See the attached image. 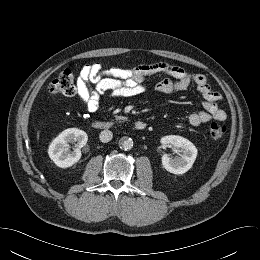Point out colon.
Listing matches in <instances>:
<instances>
[{
	"instance_id": "obj_1",
	"label": "colon",
	"mask_w": 260,
	"mask_h": 260,
	"mask_svg": "<svg viewBox=\"0 0 260 260\" xmlns=\"http://www.w3.org/2000/svg\"><path fill=\"white\" fill-rule=\"evenodd\" d=\"M49 93L55 96H71L76 92L75 76L72 71L66 69L50 82ZM226 126L223 123L214 122L209 127L212 139H221L226 133Z\"/></svg>"
}]
</instances>
